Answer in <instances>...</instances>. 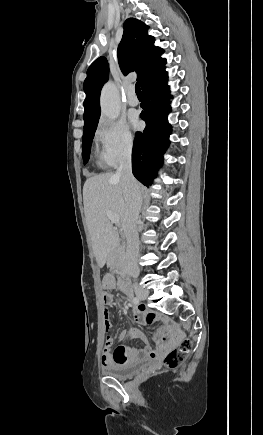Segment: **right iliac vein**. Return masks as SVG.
Returning a JSON list of instances; mask_svg holds the SVG:
<instances>
[{
  "label": "right iliac vein",
  "mask_w": 263,
  "mask_h": 435,
  "mask_svg": "<svg viewBox=\"0 0 263 435\" xmlns=\"http://www.w3.org/2000/svg\"><path fill=\"white\" fill-rule=\"evenodd\" d=\"M135 293H136L137 297L140 299H145L149 295V291L145 288H142V287H137L135 289Z\"/></svg>",
  "instance_id": "obj_1"
}]
</instances>
